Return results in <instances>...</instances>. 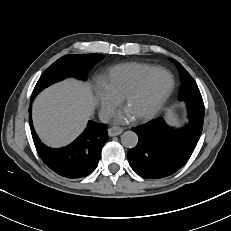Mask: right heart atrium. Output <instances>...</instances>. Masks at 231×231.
Segmentation results:
<instances>
[{"instance_id":"right-heart-atrium-1","label":"right heart atrium","mask_w":231,"mask_h":231,"mask_svg":"<svg viewBox=\"0 0 231 231\" xmlns=\"http://www.w3.org/2000/svg\"><path fill=\"white\" fill-rule=\"evenodd\" d=\"M95 92L100 108V114L104 119H108L112 116L120 104L121 99L113 95L105 86L102 80L96 83Z\"/></svg>"}]
</instances>
